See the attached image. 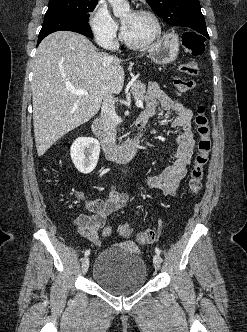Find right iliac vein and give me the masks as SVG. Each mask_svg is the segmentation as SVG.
Segmentation results:
<instances>
[{
  "mask_svg": "<svg viewBox=\"0 0 247 332\" xmlns=\"http://www.w3.org/2000/svg\"><path fill=\"white\" fill-rule=\"evenodd\" d=\"M89 257H85L83 260H82V272L83 274H86L87 271H88V268H89Z\"/></svg>",
  "mask_w": 247,
  "mask_h": 332,
  "instance_id": "obj_1",
  "label": "right iliac vein"
}]
</instances>
